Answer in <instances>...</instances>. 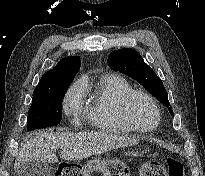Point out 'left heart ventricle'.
<instances>
[{"instance_id":"1","label":"left heart ventricle","mask_w":205,"mask_h":176,"mask_svg":"<svg viewBox=\"0 0 205 176\" xmlns=\"http://www.w3.org/2000/svg\"><path fill=\"white\" fill-rule=\"evenodd\" d=\"M132 119L141 126H152L157 121V115L151 104L142 97H136L130 106Z\"/></svg>"}]
</instances>
